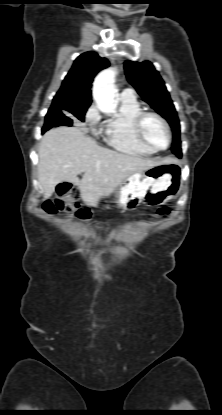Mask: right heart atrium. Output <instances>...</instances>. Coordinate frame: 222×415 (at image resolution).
<instances>
[{"instance_id": "obj_1", "label": "right heart atrium", "mask_w": 222, "mask_h": 415, "mask_svg": "<svg viewBox=\"0 0 222 415\" xmlns=\"http://www.w3.org/2000/svg\"><path fill=\"white\" fill-rule=\"evenodd\" d=\"M101 120V115L96 105H91L84 114V121L91 129H95Z\"/></svg>"}]
</instances>
